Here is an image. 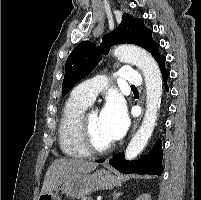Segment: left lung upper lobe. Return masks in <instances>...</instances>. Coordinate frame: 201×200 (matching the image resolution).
<instances>
[{"label": "left lung upper lobe", "instance_id": "obj_1", "mask_svg": "<svg viewBox=\"0 0 201 200\" xmlns=\"http://www.w3.org/2000/svg\"><path fill=\"white\" fill-rule=\"evenodd\" d=\"M131 43L148 50L154 59L159 56V44L152 39V30L145 27L143 19H135L125 13L120 25L102 38L100 47L84 41L78 44L69 55L65 65L62 96L96 67L101 53H107L112 45Z\"/></svg>", "mask_w": 201, "mask_h": 200}]
</instances>
